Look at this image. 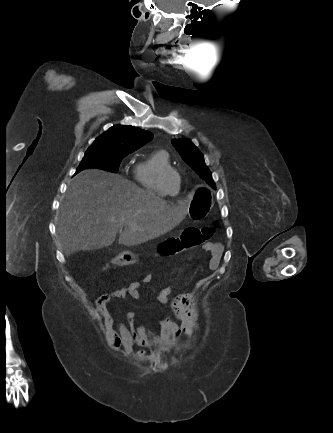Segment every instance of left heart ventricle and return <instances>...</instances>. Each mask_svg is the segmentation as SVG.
<instances>
[{"label": "left heart ventricle", "mask_w": 333, "mask_h": 433, "mask_svg": "<svg viewBox=\"0 0 333 433\" xmlns=\"http://www.w3.org/2000/svg\"><path fill=\"white\" fill-rule=\"evenodd\" d=\"M165 187H166V190L171 194H174L176 192V190H177V177L175 174L170 173L166 176Z\"/></svg>", "instance_id": "left-heart-ventricle-1"}]
</instances>
